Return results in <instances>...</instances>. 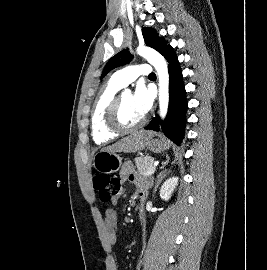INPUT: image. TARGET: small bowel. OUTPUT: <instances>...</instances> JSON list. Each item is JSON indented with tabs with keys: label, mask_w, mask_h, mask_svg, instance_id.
I'll return each mask as SVG.
<instances>
[{
	"label": "small bowel",
	"mask_w": 267,
	"mask_h": 270,
	"mask_svg": "<svg viewBox=\"0 0 267 270\" xmlns=\"http://www.w3.org/2000/svg\"><path fill=\"white\" fill-rule=\"evenodd\" d=\"M120 176L122 180H129L133 182L138 187V197L139 199H145L147 196V188L149 182L145 179L140 178L134 171V168L131 164H125L121 171ZM104 223L106 227L107 240L110 246L114 247L118 241L117 234V223H118V214L117 211L113 208H109L105 212Z\"/></svg>",
	"instance_id": "1"
}]
</instances>
